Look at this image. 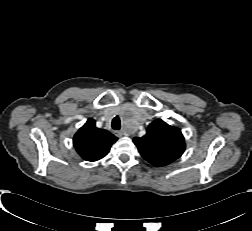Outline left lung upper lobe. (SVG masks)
<instances>
[{"label": "left lung upper lobe", "instance_id": "5c2ea615", "mask_svg": "<svg viewBox=\"0 0 252 231\" xmlns=\"http://www.w3.org/2000/svg\"><path fill=\"white\" fill-rule=\"evenodd\" d=\"M144 159L154 166H165L179 158L185 150L181 131L156 119L147 128V133L133 140Z\"/></svg>", "mask_w": 252, "mask_h": 231}]
</instances>
